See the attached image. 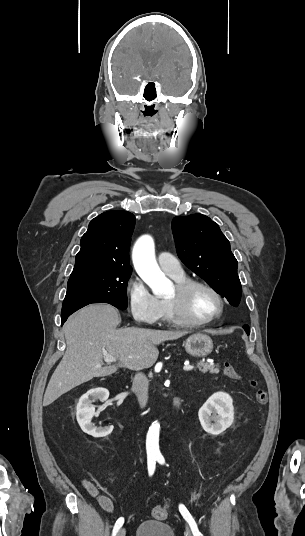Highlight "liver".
I'll use <instances>...</instances> for the list:
<instances>
[{
	"instance_id": "1",
	"label": "liver",
	"mask_w": 305,
	"mask_h": 536,
	"mask_svg": "<svg viewBox=\"0 0 305 536\" xmlns=\"http://www.w3.org/2000/svg\"><path fill=\"white\" fill-rule=\"evenodd\" d=\"M120 322L118 310L108 304H90L67 320L63 326L66 352L46 388L43 406L92 378L115 374L118 368L136 372L151 368L159 356L158 344L188 334L143 328L116 330ZM104 352L117 358L118 364L103 368Z\"/></svg>"
}]
</instances>
